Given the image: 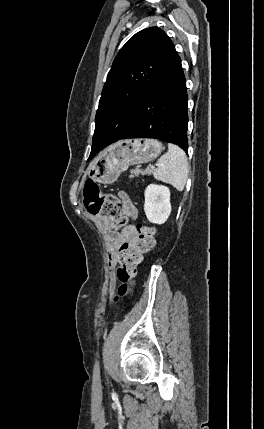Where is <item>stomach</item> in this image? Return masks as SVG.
Wrapping results in <instances>:
<instances>
[{
  "mask_svg": "<svg viewBox=\"0 0 264 429\" xmlns=\"http://www.w3.org/2000/svg\"><path fill=\"white\" fill-rule=\"evenodd\" d=\"M162 149L161 142L151 138L119 141L91 163L88 176L97 183L112 184L130 165L150 162L161 154Z\"/></svg>",
  "mask_w": 264,
  "mask_h": 429,
  "instance_id": "1",
  "label": "stomach"
}]
</instances>
